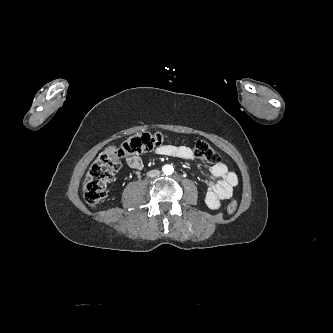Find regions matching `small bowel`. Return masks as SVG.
<instances>
[{"label":"small bowel","mask_w":333,"mask_h":333,"mask_svg":"<svg viewBox=\"0 0 333 333\" xmlns=\"http://www.w3.org/2000/svg\"><path fill=\"white\" fill-rule=\"evenodd\" d=\"M155 153L161 156L188 160L194 158L191 148L184 145H162L155 150ZM127 165L131 169L141 170L143 168V161L141 157L136 155L127 159ZM210 173L215 180L208 185L205 203L210 209L216 210L220 208L223 200L229 199L232 196L233 189L238 184V177L223 162L213 164L210 168Z\"/></svg>","instance_id":"1"}]
</instances>
